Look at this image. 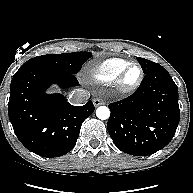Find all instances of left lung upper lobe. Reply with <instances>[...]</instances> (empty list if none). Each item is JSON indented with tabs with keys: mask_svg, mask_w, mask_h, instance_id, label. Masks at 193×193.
<instances>
[{
	"mask_svg": "<svg viewBox=\"0 0 193 193\" xmlns=\"http://www.w3.org/2000/svg\"><path fill=\"white\" fill-rule=\"evenodd\" d=\"M137 60H138L139 64L141 65L144 74L151 71L152 69H154L155 67H157L159 65L155 62H152L150 60L140 58V57H137Z\"/></svg>",
	"mask_w": 193,
	"mask_h": 193,
	"instance_id": "5c2ea615",
	"label": "left lung upper lobe"
}]
</instances>
